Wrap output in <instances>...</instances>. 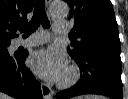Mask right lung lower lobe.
Listing matches in <instances>:
<instances>
[{
  "instance_id": "obj_1",
  "label": "right lung lower lobe",
  "mask_w": 128,
  "mask_h": 99,
  "mask_svg": "<svg viewBox=\"0 0 128 99\" xmlns=\"http://www.w3.org/2000/svg\"><path fill=\"white\" fill-rule=\"evenodd\" d=\"M28 52L0 54V91L16 99H43L40 84L25 67Z\"/></svg>"
}]
</instances>
